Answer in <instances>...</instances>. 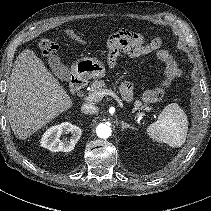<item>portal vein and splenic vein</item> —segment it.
<instances>
[{"mask_svg": "<svg viewBox=\"0 0 211 211\" xmlns=\"http://www.w3.org/2000/svg\"><path fill=\"white\" fill-rule=\"evenodd\" d=\"M103 94L115 96V94L112 91H106V92H103ZM115 97L117 99V96H115ZM85 100L89 101V100H92V98L91 97H87ZM118 103H119L120 107H123V103L121 101L118 100ZM143 115L144 114L141 113V114L136 115V117H138V119H140Z\"/></svg>", "mask_w": 211, "mask_h": 211, "instance_id": "obj_1", "label": "portal vein and splenic vein"}]
</instances>
